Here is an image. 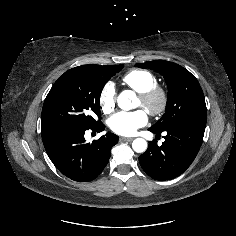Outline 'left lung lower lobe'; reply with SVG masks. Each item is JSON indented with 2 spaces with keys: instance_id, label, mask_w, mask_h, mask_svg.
Wrapping results in <instances>:
<instances>
[{
  "instance_id": "0a47b994",
  "label": "left lung lower lobe",
  "mask_w": 236,
  "mask_h": 236,
  "mask_svg": "<svg viewBox=\"0 0 236 236\" xmlns=\"http://www.w3.org/2000/svg\"><path fill=\"white\" fill-rule=\"evenodd\" d=\"M206 117L182 120L161 132L165 141L159 147L157 141H150L148 149L139 156L143 170L152 178L165 181L181 175L196 157L204 136Z\"/></svg>"
}]
</instances>
